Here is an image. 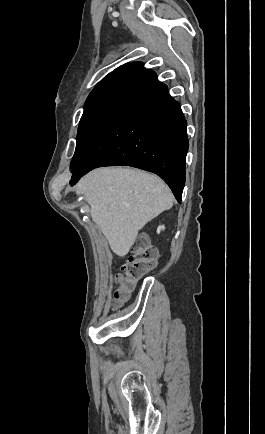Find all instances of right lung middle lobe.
<instances>
[{"instance_id": "right-lung-middle-lobe-1", "label": "right lung middle lobe", "mask_w": 265, "mask_h": 434, "mask_svg": "<svg viewBox=\"0 0 265 434\" xmlns=\"http://www.w3.org/2000/svg\"><path fill=\"white\" fill-rule=\"evenodd\" d=\"M132 78L133 76L122 75L102 80L90 93L79 123L71 168L83 159L118 97Z\"/></svg>"}]
</instances>
